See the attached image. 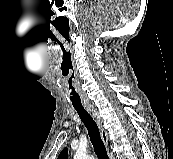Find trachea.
Listing matches in <instances>:
<instances>
[{
	"label": "trachea",
	"instance_id": "1",
	"mask_svg": "<svg viewBox=\"0 0 173 159\" xmlns=\"http://www.w3.org/2000/svg\"><path fill=\"white\" fill-rule=\"evenodd\" d=\"M81 121L88 130L90 141L98 159H109L105 145L101 139L99 128L92 116L84 109H76Z\"/></svg>",
	"mask_w": 173,
	"mask_h": 159
}]
</instances>
